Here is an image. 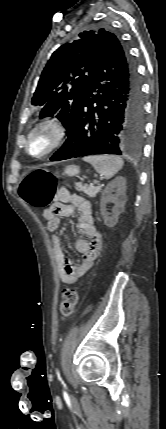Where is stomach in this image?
<instances>
[{"label":"stomach","mask_w":166,"mask_h":429,"mask_svg":"<svg viewBox=\"0 0 166 429\" xmlns=\"http://www.w3.org/2000/svg\"><path fill=\"white\" fill-rule=\"evenodd\" d=\"M67 176H76L80 172V168L76 165L67 166L64 170Z\"/></svg>","instance_id":"0dacf381"}]
</instances>
